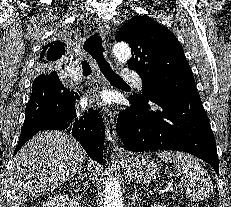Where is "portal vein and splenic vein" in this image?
I'll list each match as a JSON object with an SVG mask.
<instances>
[{"instance_id":"obj_1","label":"portal vein and splenic vein","mask_w":231,"mask_h":207,"mask_svg":"<svg viewBox=\"0 0 231 207\" xmlns=\"http://www.w3.org/2000/svg\"><path fill=\"white\" fill-rule=\"evenodd\" d=\"M166 190H167V191H175L176 188L173 187L172 185H168V186L166 187Z\"/></svg>"}]
</instances>
